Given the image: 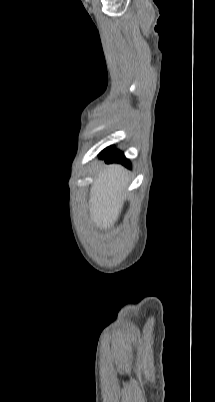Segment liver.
Returning <instances> with one entry per match:
<instances>
[{"label":"liver","mask_w":215,"mask_h":402,"mask_svg":"<svg viewBox=\"0 0 215 402\" xmlns=\"http://www.w3.org/2000/svg\"><path fill=\"white\" fill-rule=\"evenodd\" d=\"M129 178L118 164L105 167L95 178L89 195L91 222L100 230L110 229L122 211Z\"/></svg>","instance_id":"liver-1"}]
</instances>
